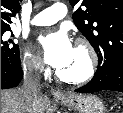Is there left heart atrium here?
Segmentation results:
<instances>
[{
	"label": "left heart atrium",
	"instance_id": "obj_1",
	"mask_svg": "<svg viewBox=\"0 0 123 113\" xmlns=\"http://www.w3.org/2000/svg\"><path fill=\"white\" fill-rule=\"evenodd\" d=\"M39 43L46 63L55 68H62L72 58L74 48L69 36L63 30L41 36Z\"/></svg>",
	"mask_w": 123,
	"mask_h": 113
}]
</instances>
